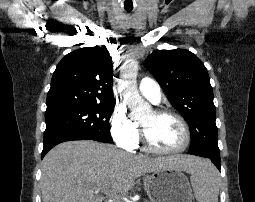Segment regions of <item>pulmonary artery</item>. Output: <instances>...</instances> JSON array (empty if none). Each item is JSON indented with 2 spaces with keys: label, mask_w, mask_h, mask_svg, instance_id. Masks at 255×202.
Listing matches in <instances>:
<instances>
[{
  "label": "pulmonary artery",
  "mask_w": 255,
  "mask_h": 202,
  "mask_svg": "<svg viewBox=\"0 0 255 202\" xmlns=\"http://www.w3.org/2000/svg\"><path fill=\"white\" fill-rule=\"evenodd\" d=\"M140 93L153 103H158L161 99V90L159 84L148 77L142 78L139 82Z\"/></svg>",
  "instance_id": "e3ab8cb5"
}]
</instances>
